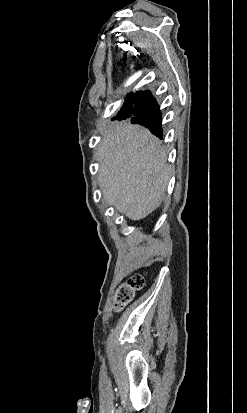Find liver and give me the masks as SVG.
<instances>
[{
    "label": "liver",
    "mask_w": 247,
    "mask_h": 413,
    "mask_svg": "<svg viewBox=\"0 0 247 413\" xmlns=\"http://www.w3.org/2000/svg\"><path fill=\"white\" fill-rule=\"evenodd\" d=\"M97 160L102 194L119 213L140 221L160 207L171 168L161 140L148 128L116 122L104 130Z\"/></svg>",
    "instance_id": "obj_1"
}]
</instances>
